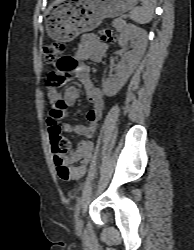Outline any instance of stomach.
<instances>
[{
  "mask_svg": "<svg viewBox=\"0 0 194 250\" xmlns=\"http://www.w3.org/2000/svg\"><path fill=\"white\" fill-rule=\"evenodd\" d=\"M139 0H64L50 7L47 33L58 42H70L79 34L95 29L106 17L119 16Z\"/></svg>",
  "mask_w": 194,
  "mask_h": 250,
  "instance_id": "1",
  "label": "stomach"
}]
</instances>
